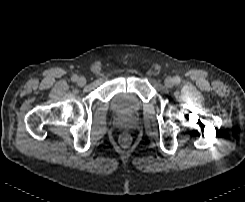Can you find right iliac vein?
Returning <instances> with one entry per match:
<instances>
[{"label": "right iliac vein", "mask_w": 245, "mask_h": 202, "mask_svg": "<svg viewBox=\"0 0 245 202\" xmlns=\"http://www.w3.org/2000/svg\"><path fill=\"white\" fill-rule=\"evenodd\" d=\"M77 84L79 86H83L86 84V78L85 77H79L78 80H77Z\"/></svg>", "instance_id": "1"}]
</instances>
